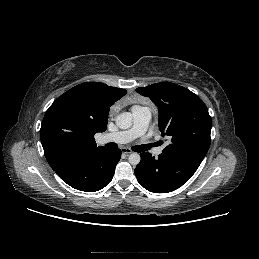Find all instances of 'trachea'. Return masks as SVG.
I'll list each match as a JSON object with an SVG mask.
<instances>
[{
    "label": "trachea",
    "mask_w": 259,
    "mask_h": 259,
    "mask_svg": "<svg viewBox=\"0 0 259 259\" xmlns=\"http://www.w3.org/2000/svg\"><path fill=\"white\" fill-rule=\"evenodd\" d=\"M108 148H116V144L115 143H109ZM149 149V145H137L133 147V150L136 152H143Z\"/></svg>",
    "instance_id": "3493384b"
}]
</instances>
